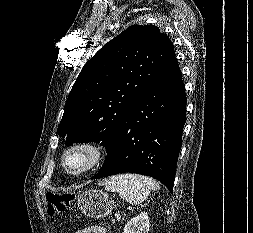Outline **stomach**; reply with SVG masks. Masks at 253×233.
<instances>
[{
	"mask_svg": "<svg viewBox=\"0 0 253 233\" xmlns=\"http://www.w3.org/2000/svg\"><path fill=\"white\" fill-rule=\"evenodd\" d=\"M78 206L86 216L102 218L111 213L114 201L105 192L91 189L78 195Z\"/></svg>",
	"mask_w": 253,
	"mask_h": 233,
	"instance_id": "stomach-1",
	"label": "stomach"
}]
</instances>
